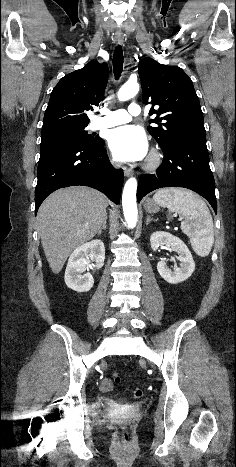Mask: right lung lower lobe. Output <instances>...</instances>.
<instances>
[{
	"label": "right lung lower lobe",
	"mask_w": 236,
	"mask_h": 467,
	"mask_svg": "<svg viewBox=\"0 0 236 467\" xmlns=\"http://www.w3.org/2000/svg\"><path fill=\"white\" fill-rule=\"evenodd\" d=\"M75 185L98 189L119 203L123 171L115 170L110 164L103 139L93 146L60 142L40 147L35 213L53 191Z\"/></svg>",
	"instance_id": "right-lung-lower-lobe-1"
}]
</instances>
